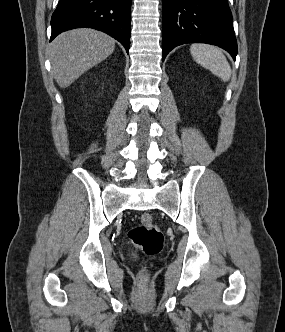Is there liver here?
<instances>
[{
	"mask_svg": "<svg viewBox=\"0 0 285 332\" xmlns=\"http://www.w3.org/2000/svg\"><path fill=\"white\" fill-rule=\"evenodd\" d=\"M115 40L88 28L66 31L49 47L52 73L61 88L70 86L83 73L113 53Z\"/></svg>",
	"mask_w": 285,
	"mask_h": 332,
	"instance_id": "obj_1",
	"label": "liver"
}]
</instances>
